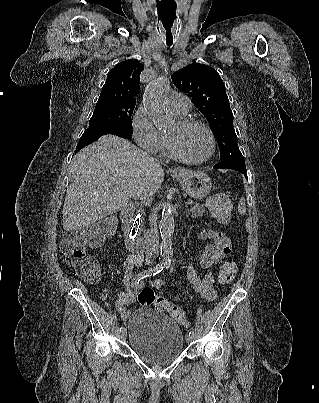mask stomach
<instances>
[{
	"label": "stomach",
	"instance_id": "0dacf381",
	"mask_svg": "<svg viewBox=\"0 0 319 403\" xmlns=\"http://www.w3.org/2000/svg\"><path fill=\"white\" fill-rule=\"evenodd\" d=\"M175 176L182 189L191 198L201 199L211 191V180L209 176L203 172L181 171Z\"/></svg>",
	"mask_w": 319,
	"mask_h": 403
}]
</instances>
